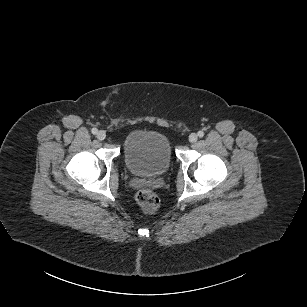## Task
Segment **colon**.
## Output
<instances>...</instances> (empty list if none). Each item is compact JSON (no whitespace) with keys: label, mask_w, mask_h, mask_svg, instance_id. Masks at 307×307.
<instances>
[{"label":"colon","mask_w":307,"mask_h":307,"mask_svg":"<svg viewBox=\"0 0 307 307\" xmlns=\"http://www.w3.org/2000/svg\"><path fill=\"white\" fill-rule=\"evenodd\" d=\"M136 201L139 208L144 212H153L159 206L157 195L149 189L140 190L136 195Z\"/></svg>","instance_id":"obj_1"}]
</instances>
